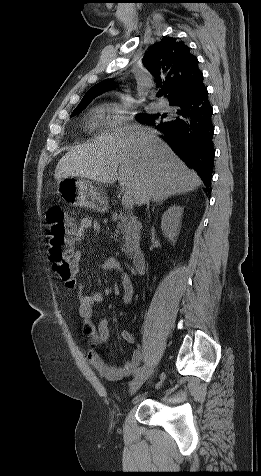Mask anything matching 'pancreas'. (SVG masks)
Returning a JSON list of instances; mask_svg holds the SVG:
<instances>
[{"label":"pancreas","instance_id":"pancreas-1","mask_svg":"<svg viewBox=\"0 0 261 476\" xmlns=\"http://www.w3.org/2000/svg\"><path fill=\"white\" fill-rule=\"evenodd\" d=\"M112 220L117 222V229L122 235V252L131 255L139 243L141 223L130 214H118L117 212L112 213Z\"/></svg>","mask_w":261,"mask_h":476}]
</instances>
